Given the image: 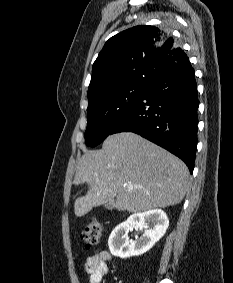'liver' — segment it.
Wrapping results in <instances>:
<instances>
[{
	"label": "liver",
	"mask_w": 233,
	"mask_h": 283,
	"mask_svg": "<svg viewBox=\"0 0 233 283\" xmlns=\"http://www.w3.org/2000/svg\"><path fill=\"white\" fill-rule=\"evenodd\" d=\"M188 179L187 166L170 152L132 132L113 134L101 150L81 157L74 184L87 183L89 189L75 200L74 212L84 216L114 198V208L132 213L173 206L183 200Z\"/></svg>",
	"instance_id": "1"
}]
</instances>
